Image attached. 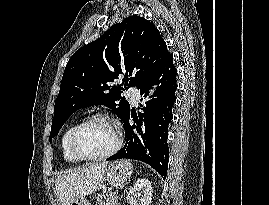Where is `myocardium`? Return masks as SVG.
<instances>
[{"label": "myocardium", "instance_id": "myocardium-1", "mask_svg": "<svg viewBox=\"0 0 269 205\" xmlns=\"http://www.w3.org/2000/svg\"><path fill=\"white\" fill-rule=\"evenodd\" d=\"M94 121L107 122L113 130L115 142H114V145L112 146V148L103 154L95 155V156H86V155H83L77 148V137H78V134L80 133V131L86 125H88L89 123L94 122ZM122 143H123V138H122L120 126H119V123L117 122V120H115L113 117H111L107 114L97 113V114H93V115L86 117L85 119H83L81 122H79L75 126V128L73 129L71 136H70L69 145H70V150H71L72 154L78 160L98 161V160L107 159V158L113 156L114 154H116L120 150Z\"/></svg>", "mask_w": 269, "mask_h": 205}]
</instances>
